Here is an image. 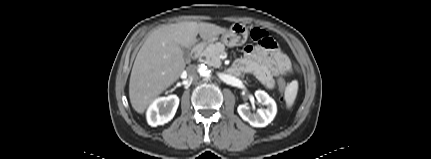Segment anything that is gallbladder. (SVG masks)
Listing matches in <instances>:
<instances>
[{
    "instance_id": "bac80fb5",
    "label": "gallbladder",
    "mask_w": 431,
    "mask_h": 159,
    "mask_svg": "<svg viewBox=\"0 0 431 159\" xmlns=\"http://www.w3.org/2000/svg\"><path fill=\"white\" fill-rule=\"evenodd\" d=\"M183 53L185 56H187L189 54V49L186 47H182Z\"/></svg>"
}]
</instances>
